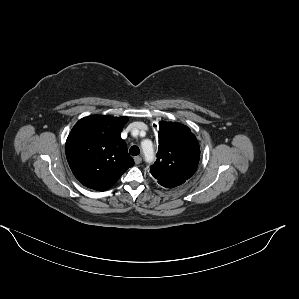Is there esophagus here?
I'll return each instance as SVG.
<instances>
[{
    "instance_id": "34e87169",
    "label": "esophagus",
    "mask_w": 299,
    "mask_h": 299,
    "mask_svg": "<svg viewBox=\"0 0 299 299\" xmlns=\"http://www.w3.org/2000/svg\"><path fill=\"white\" fill-rule=\"evenodd\" d=\"M135 164H140L142 162V158L140 156L134 157Z\"/></svg>"
}]
</instances>
